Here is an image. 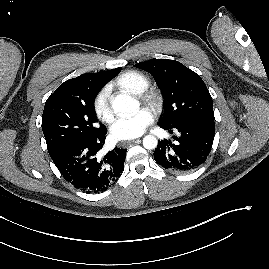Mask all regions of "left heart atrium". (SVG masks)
<instances>
[{
	"mask_svg": "<svg viewBox=\"0 0 269 269\" xmlns=\"http://www.w3.org/2000/svg\"><path fill=\"white\" fill-rule=\"evenodd\" d=\"M153 122V114L146 108L131 117L120 118L112 126V136L117 140H129L140 136Z\"/></svg>",
	"mask_w": 269,
	"mask_h": 269,
	"instance_id": "1",
	"label": "left heart atrium"
}]
</instances>
